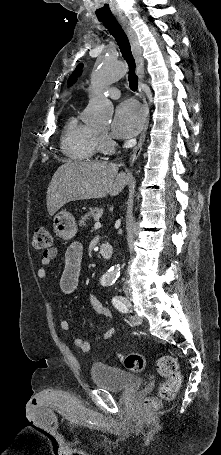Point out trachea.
Returning a JSON list of instances; mask_svg holds the SVG:
<instances>
[{"label": "trachea", "mask_w": 221, "mask_h": 455, "mask_svg": "<svg viewBox=\"0 0 221 455\" xmlns=\"http://www.w3.org/2000/svg\"><path fill=\"white\" fill-rule=\"evenodd\" d=\"M100 22H103L106 26V28L109 30V32L113 35V37L116 39L120 51L122 53V56L126 60L129 66V76H128V81L129 85L132 91H136L138 88V77L134 73L135 71V62L133 55L131 53V48L129 44V40L121 28V26L118 24V22L115 20V18L110 17V18H104V19H99Z\"/></svg>", "instance_id": "3493384b"}]
</instances>
